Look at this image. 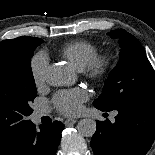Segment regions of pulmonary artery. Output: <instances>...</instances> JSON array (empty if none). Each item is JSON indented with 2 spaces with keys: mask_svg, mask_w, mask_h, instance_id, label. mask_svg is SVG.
<instances>
[{
  "mask_svg": "<svg viewBox=\"0 0 155 155\" xmlns=\"http://www.w3.org/2000/svg\"><path fill=\"white\" fill-rule=\"evenodd\" d=\"M48 113L49 111L46 108H40L35 111L34 117L35 119H40L41 117L45 116Z\"/></svg>",
  "mask_w": 155,
  "mask_h": 155,
  "instance_id": "obj_1",
  "label": "pulmonary artery"
}]
</instances>
